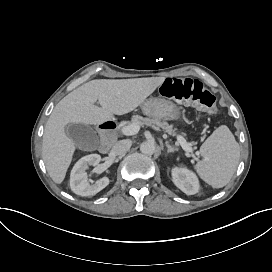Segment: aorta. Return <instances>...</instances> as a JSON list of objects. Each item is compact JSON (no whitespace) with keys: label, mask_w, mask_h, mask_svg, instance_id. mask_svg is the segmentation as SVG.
Instances as JSON below:
<instances>
[{"label":"aorta","mask_w":272,"mask_h":272,"mask_svg":"<svg viewBox=\"0 0 272 272\" xmlns=\"http://www.w3.org/2000/svg\"><path fill=\"white\" fill-rule=\"evenodd\" d=\"M156 146L155 143L152 141H146L141 143L140 151L145 155H153L155 153Z\"/></svg>","instance_id":"762f6f07"}]
</instances>
